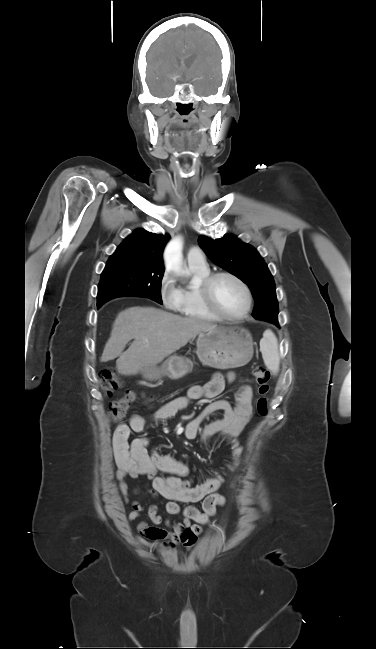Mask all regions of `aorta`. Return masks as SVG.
Instances as JSON below:
<instances>
[{
  "label": "aorta",
  "mask_w": 376,
  "mask_h": 649,
  "mask_svg": "<svg viewBox=\"0 0 376 649\" xmlns=\"http://www.w3.org/2000/svg\"><path fill=\"white\" fill-rule=\"evenodd\" d=\"M182 248L183 241L181 237H176L172 239L164 252V261L166 268L172 270L176 274H182Z\"/></svg>",
  "instance_id": "aorta-1"
}]
</instances>
